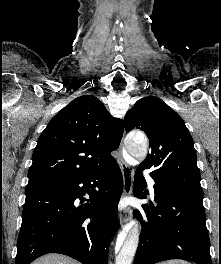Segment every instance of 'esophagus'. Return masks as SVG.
Here are the masks:
<instances>
[{"label":"esophagus","mask_w":221,"mask_h":264,"mask_svg":"<svg viewBox=\"0 0 221 264\" xmlns=\"http://www.w3.org/2000/svg\"><path fill=\"white\" fill-rule=\"evenodd\" d=\"M122 153H123V140L119 148L118 164L120 166L123 176V194L125 196H129L132 193L133 170L129 165H127V163L123 159ZM131 217H132V209L130 207H126L120 215V224L122 225L126 223L131 219Z\"/></svg>","instance_id":"obj_1"}]
</instances>
